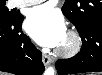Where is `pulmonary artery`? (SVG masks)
Returning a JSON list of instances; mask_svg holds the SVG:
<instances>
[{"label": "pulmonary artery", "mask_w": 102, "mask_h": 75, "mask_svg": "<svg viewBox=\"0 0 102 75\" xmlns=\"http://www.w3.org/2000/svg\"><path fill=\"white\" fill-rule=\"evenodd\" d=\"M44 0H17L18 5H26V4H33V3H41Z\"/></svg>", "instance_id": "e3ab8cb5"}]
</instances>
